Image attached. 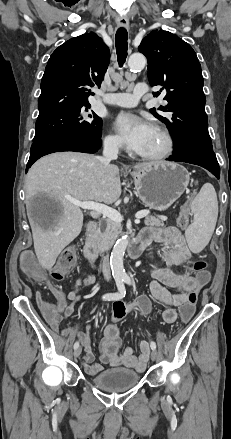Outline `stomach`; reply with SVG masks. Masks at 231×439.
Here are the masks:
<instances>
[{
  "label": "stomach",
  "mask_w": 231,
  "mask_h": 439,
  "mask_svg": "<svg viewBox=\"0 0 231 439\" xmlns=\"http://www.w3.org/2000/svg\"><path fill=\"white\" fill-rule=\"evenodd\" d=\"M135 191L145 206L168 209L187 189L189 174L179 164L158 162L132 173Z\"/></svg>",
  "instance_id": "obj_1"
}]
</instances>
